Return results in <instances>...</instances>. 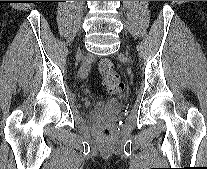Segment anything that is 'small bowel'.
Instances as JSON below:
<instances>
[{"label":"small bowel","mask_w":207,"mask_h":169,"mask_svg":"<svg viewBox=\"0 0 207 169\" xmlns=\"http://www.w3.org/2000/svg\"><path fill=\"white\" fill-rule=\"evenodd\" d=\"M82 73L85 74L86 73V69H83Z\"/></svg>","instance_id":"small-bowel-1"}]
</instances>
